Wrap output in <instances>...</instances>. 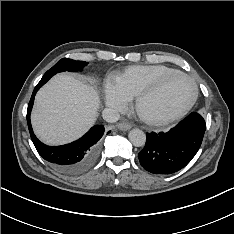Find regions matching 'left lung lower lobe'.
<instances>
[{"label":"left lung lower lobe","mask_w":234,"mask_h":234,"mask_svg":"<svg viewBox=\"0 0 234 234\" xmlns=\"http://www.w3.org/2000/svg\"><path fill=\"white\" fill-rule=\"evenodd\" d=\"M205 130L204 118L192 112L166 133H147L145 147L138 154L140 164L154 174L179 171L199 150Z\"/></svg>","instance_id":"obj_1"}]
</instances>
